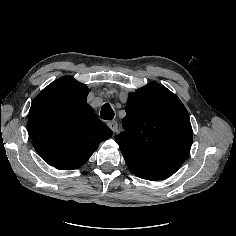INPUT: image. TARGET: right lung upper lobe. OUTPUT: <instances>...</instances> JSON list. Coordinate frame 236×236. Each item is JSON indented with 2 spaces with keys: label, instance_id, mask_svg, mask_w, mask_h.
<instances>
[{
  "label": "right lung upper lobe",
  "instance_id": "right-lung-upper-lobe-1",
  "mask_svg": "<svg viewBox=\"0 0 236 236\" xmlns=\"http://www.w3.org/2000/svg\"><path fill=\"white\" fill-rule=\"evenodd\" d=\"M88 93L86 85L65 76L44 88L31 105L29 136L37 153L57 169L80 167L113 134L86 103Z\"/></svg>",
  "mask_w": 236,
  "mask_h": 236
}]
</instances>
